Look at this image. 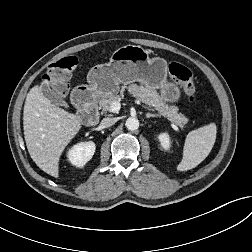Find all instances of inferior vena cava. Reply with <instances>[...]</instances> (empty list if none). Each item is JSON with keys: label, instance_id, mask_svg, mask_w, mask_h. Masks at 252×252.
Masks as SVG:
<instances>
[{"label": "inferior vena cava", "instance_id": "obj_1", "mask_svg": "<svg viewBox=\"0 0 252 252\" xmlns=\"http://www.w3.org/2000/svg\"><path fill=\"white\" fill-rule=\"evenodd\" d=\"M115 122H116L115 118H111V117L103 118L102 121L100 122V127L107 128L114 125Z\"/></svg>", "mask_w": 252, "mask_h": 252}]
</instances>
